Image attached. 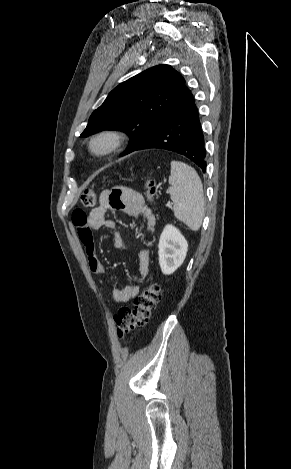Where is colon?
<instances>
[{
    "label": "colon",
    "mask_w": 291,
    "mask_h": 469,
    "mask_svg": "<svg viewBox=\"0 0 291 469\" xmlns=\"http://www.w3.org/2000/svg\"><path fill=\"white\" fill-rule=\"evenodd\" d=\"M144 187L147 199L152 201L156 192L153 180L147 179ZM97 201L98 194L94 189L88 188L83 191L81 203L84 207H93L97 204ZM82 234L85 233L82 232ZM160 297L161 287L159 284L151 283L145 286L140 295L136 297L133 308L123 307L114 316L117 336L123 339L131 331L145 326L152 317Z\"/></svg>",
    "instance_id": "1"
}]
</instances>
